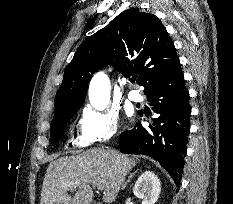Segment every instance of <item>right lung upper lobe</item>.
<instances>
[{
    "mask_svg": "<svg viewBox=\"0 0 233 204\" xmlns=\"http://www.w3.org/2000/svg\"><path fill=\"white\" fill-rule=\"evenodd\" d=\"M178 62L173 42L157 16L138 8L125 10L79 46L56 93L53 120L80 108L91 76L108 64L125 77L136 74L137 82L146 88Z\"/></svg>",
    "mask_w": 233,
    "mask_h": 204,
    "instance_id": "1",
    "label": "right lung upper lobe"
}]
</instances>
